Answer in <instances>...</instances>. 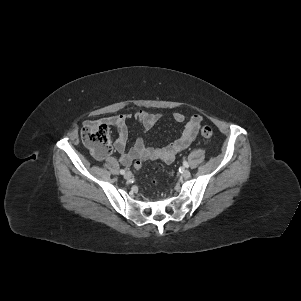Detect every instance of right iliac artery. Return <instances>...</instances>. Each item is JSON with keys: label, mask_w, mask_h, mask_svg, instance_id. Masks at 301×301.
<instances>
[{"label": "right iliac artery", "mask_w": 301, "mask_h": 301, "mask_svg": "<svg viewBox=\"0 0 301 301\" xmlns=\"http://www.w3.org/2000/svg\"><path fill=\"white\" fill-rule=\"evenodd\" d=\"M120 173H121V174H125V170H124V169H121V170H120Z\"/></svg>", "instance_id": "obj_1"}]
</instances>
